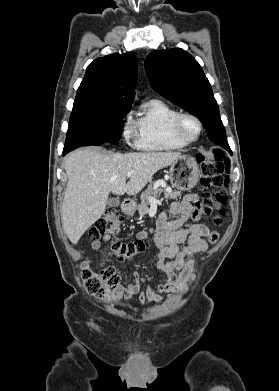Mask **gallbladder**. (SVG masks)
Here are the masks:
<instances>
[{"instance_id":"1","label":"gallbladder","mask_w":279,"mask_h":391,"mask_svg":"<svg viewBox=\"0 0 279 391\" xmlns=\"http://www.w3.org/2000/svg\"><path fill=\"white\" fill-rule=\"evenodd\" d=\"M120 204V201L118 198H110L108 200V205L111 206V207H116V206H119Z\"/></svg>"}]
</instances>
